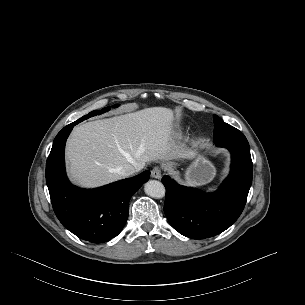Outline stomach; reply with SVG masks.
<instances>
[{
  "mask_svg": "<svg viewBox=\"0 0 305 305\" xmlns=\"http://www.w3.org/2000/svg\"><path fill=\"white\" fill-rule=\"evenodd\" d=\"M216 174L213 164L203 155H197L184 174L188 185L201 186L210 182Z\"/></svg>",
  "mask_w": 305,
  "mask_h": 305,
  "instance_id": "obj_1",
  "label": "stomach"
}]
</instances>
